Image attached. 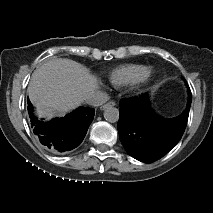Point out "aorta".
Listing matches in <instances>:
<instances>
[{"label":"aorta","mask_w":213,"mask_h":213,"mask_svg":"<svg viewBox=\"0 0 213 213\" xmlns=\"http://www.w3.org/2000/svg\"><path fill=\"white\" fill-rule=\"evenodd\" d=\"M104 119L109 123H116L119 120V110L112 106L108 105L104 110Z\"/></svg>","instance_id":"1"}]
</instances>
